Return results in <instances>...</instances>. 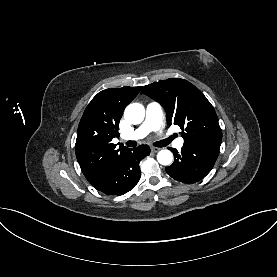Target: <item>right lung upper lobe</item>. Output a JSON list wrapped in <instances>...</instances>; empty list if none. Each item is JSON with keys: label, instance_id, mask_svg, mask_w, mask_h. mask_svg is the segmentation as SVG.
Listing matches in <instances>:
<instances>
[{"label": "right lung upper lobe", "instance_id": "obj_1", "mask_svg": "<svg viewBox=\"0 0 277 277\" xmlns=\"http://www.w3.org/2000/svg\"><path fill=\"white\" fill-rule=\"evenodd\" d=\"M141 87H122L99 92L88 104L80 120L75 152L81 170L92 183L130 149L116 148L111 141L118 136L119 121L125 107Z\"/></svg>", "mask_w": 277, "mask_h": 277}]
</instances>
